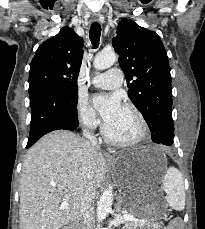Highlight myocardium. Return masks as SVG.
I'll return each mask as SVG.
<instances>
[{
  "mask_svg": "<svg viewBox=\"0 0 205 229\" xmlns=\"http://www.w3.org/2000/svg\"><path fill=\"white\" fill-rule=\"evenodd\" d=\"M124 107L127 108L128 110H130L135 115V117L137 118L139 130H138V133L132 138L117 139V138L112 137L107 132L106 124H104L102 126V135H103L104 139L108 143L113 144V145H117V146H131V145H135V144L141 142L145 138V136L147 134V130H148L146 119H145L144 115L142 114V112L138 109V107H136L132 103H125Z\"/></svg>",
  "mask_w": 205,
  "mask_h": 229,
  "instance_id": "myocardium-1",
  "label": "myocardium"
}]
</instances>
